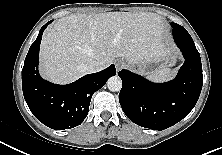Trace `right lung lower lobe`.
<instances>
[{
  "label": "right lung lower lobe",
  "mask_w": 222,
  "mask_h": 155,
  "mask_svg": "<svg viewBox=\"0 0 222 155\" xmlns=\"http://www.w3.org/2000/svg\"><path fill=\"white\" fill-rule=\"evenodd\" d=\"M46 23L39 31L25 58L22 87L25 101L34 116L44 125L63 130L80 125L86 118L91 97L116 74L112 64L107 69L88 74L68 85H57L41 78L38 72L39 47Z\"/></svg>",
  "instance_id": "right-lung-lower-lobe-1"
}]
</instances>
